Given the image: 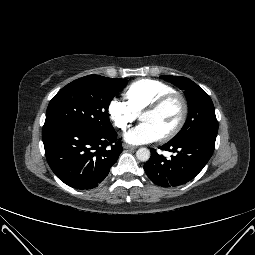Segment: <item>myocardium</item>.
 <instances>
[{
  "label": "myocardium",
  "mask_w": 255,
  "mask_h": 255,
  "mask_svg": "<svg viewBox=\"0 0 255 255\" xmlns=\"http://www.w3.org/2000/svg\"><path fill=\"white\" fill-rule=\"evenodd\" d=\"M174 99H177L180 101L181 114H180L179 120L177 121L175 126L171 130H169L168 132H166L165 134L160 136V140H162V141L169 140V139L173 138L174 136H176L179 133V131L182 129V127L184 126V124L187 120L188 111H189L188 101H187L186 97L182 93L177 92V91H173V92L164 94V95L160 96L159 98H157L156 100H154L148 106H146L142 110L141 115H140V117H141L145 113L155 112V111L159 110L160 108H162L165 104H167L168 102H170L171 100H174Z\"/></svg>",
  "instance_id": "myocardium-1"
}]
</instances>
